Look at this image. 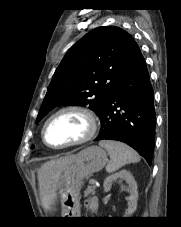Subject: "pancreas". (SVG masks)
<instances>
[{"label": "pancreas", "instance_id": "pancreas-1", "mask_svg": "<svg viewBox=\"0 0 181 227\" xmlns=\"http://www.w3.org/2000/svg\"><path fill=\"white\" fill-rule=\"evenodd\" d=\"M95 189H96L95 185L88 186L87 189L84 192V196L88 197L90 195H94L95 194Z\"/></svg>", "mask_w": 181, "mask_h": 227}]
</instances>
